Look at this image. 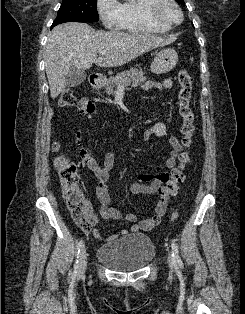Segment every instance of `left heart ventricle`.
Wrapping results in <instances>:
<instances>
[{"mask_svg":"<svg viewBox=\"0 0 245 314\" xmlns=\"http://www.w3.org/2000/svg\"><path fill=\"white\" fill-rule=\"evenodd\" d=\"M164 14L172 21L178 22L180 20V15L178 11L171 5H166L164 8Z\"/></svg>","mask_w":245,"mask_h":314,"instance_id":"left-heart-ventricle-1","label":"left heart ventricle"}]
</instances>
